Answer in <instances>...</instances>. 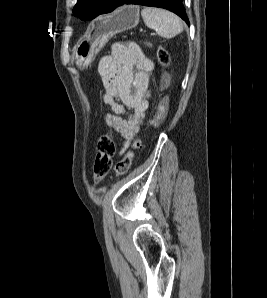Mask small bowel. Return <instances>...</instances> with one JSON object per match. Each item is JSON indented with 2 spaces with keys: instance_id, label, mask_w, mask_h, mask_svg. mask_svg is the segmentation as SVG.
Listing matches in <instances>:
<instances>
[{
  "instance_id": "1",
  "label": "small bowel",
  "mask_w": 267,
  "mask_h": 298,
  "mask_svg": "<svg viewBox=\"0 0 267 298\" xmlns=\"http://www.w3.org/2000/svg\"><path fill=\"white\" fill-rule=\"evenodd\" d=\"M153 70V61L135 43H116L111 53L99 61L103 86L99 101L111 109L104 116V124L122 137L125 147L139 132L148 113ZM166 108L167 102L161 101L154 119L150 120L152 125L162 120Z\"/></svg>"
}]
</instances>
